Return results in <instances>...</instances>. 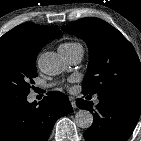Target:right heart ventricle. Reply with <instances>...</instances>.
Instances as JSON below:
<instances>
[{
    "label": "right heart ventricle",
    "instance_id": "obj_1",
    "mask_svg": "<svg viewBox=\"0 0 141 141\" xmlns=\"http://www.w3.org/2000/svg\"><path fill=\"white\" fill-rule=\"evenodd\" d=\"M76 46H80V44H78L76 42H67V43L61 44L59 48L71 49V48L76 47Z\"/></svg>",
    "mask_w": 141,
    "mask_h": 141
}]
</instances>
